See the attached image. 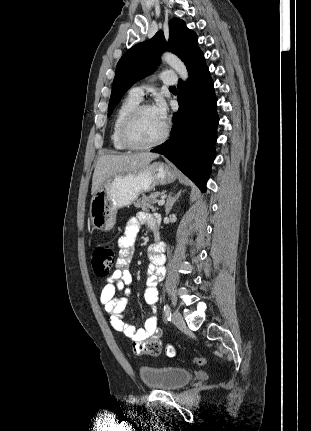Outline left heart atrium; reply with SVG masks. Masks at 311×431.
Here are the masks:
<instances>
[{"label":"left heart atrium","mask_w":311,"mask_h":431,"mask_svg":"<svg viewBox=\"0 0 311 431\" xmlns=\"http://www.w3.org/2000/svg\"><path fill=\"white\" fill-rule=\"evenodd\" d=\"M158 119L166 124L167 116H168V108L165 101L162 98H157L155 103L151 107Z\"/></svg>","instance_id":"39dd6f15"}]
</instances>
